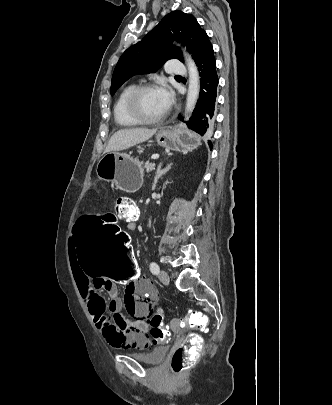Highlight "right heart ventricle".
Returning <instances> with one entry per match:
<instances>
[{"mask_svg": "<svg viewBox=\"0 0 332 405\" xmlns=\"http://www.w3.org/2000/svg\"><path fill=\"white\" fill-rule=\"evenodd\" d=\"M135 84H128L118 94L113 108L115 122L121 127H133L138 123L134 121L126 112V100L129 94L136 88Z\"/></svg>", "mask_w": 332, "mask_h": 405, "instance_id": "right-heart-ventricle-1", "label": "right heart ventricle"}]
</instances>
